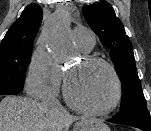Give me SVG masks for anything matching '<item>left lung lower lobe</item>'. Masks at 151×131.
Instances as JSON below:
<instances>
[{"instance_id": "left-lung-lower-lobe-1", "label": "left lung lower lobe", "mask_w": 151, "mask_h": 131, "mask_svg": "<svg viewBox=\"0 0 151 131\" xmlns=\"http://www.w3.org/2000/svg\"><path fill=\"white\" fill-rule=\"evenodd\" d=\"M108 121L115 124L136 127L143 131H151V116L147 106L137 105L130 107L120 111Z\"/></svg>"}]
</instances>
